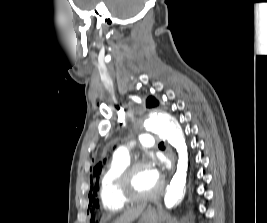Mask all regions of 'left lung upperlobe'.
Wrapping results in <instances>:
<instances>
[{"instance_id":"1","label":"left lung upper lobe","mask_w":267,"mask_h":223,"mask_svg":"<svg viewBox=\"0 0 267 223\" xmlns=\"http://www.w3.org/2000/svg\"><path fill=\"white\" fill-rule=\"evenodd\" d=\"M159 102L154 98V97H149L147 99V107H155L158 106ZM101 162H99L96 167L94 168V174L93 176L96 178V183L93 186L92 183V176H90V180H91V190H90V198H91V206H87L86 209V214H103V209L102 206H98L97 201L95 200V194L97 192V190L99 189V184H98V180H99V174L101 173ZM92 190H93V196H92Z\"/></svg>"}]
</instances>
